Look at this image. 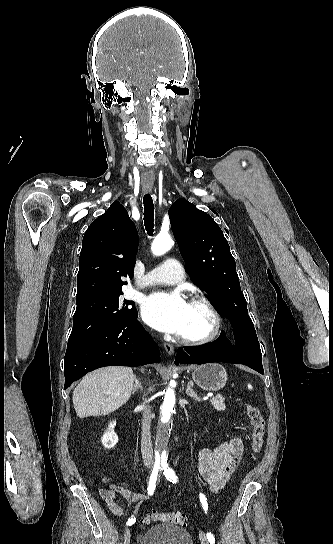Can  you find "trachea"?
<instances>
[{
	"label": "trachea",
	"mask_w": 333,
	"mask_h": 544,
	"mask_svg": "<svg viewBox=\"0 0 333 544\" xmlns=\"http://www.w3.org/2000/svg\"><path fill=\"white\" fill-rule=\"evenodd\" d=\"M144 204V225L149 235L153 234L154 228V204L149 194L143 197Z\"/></svg>",
	"instance_id": "trachea-1"
}]
</instances>
